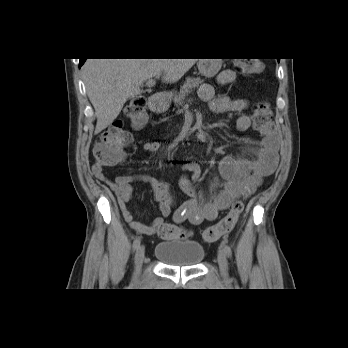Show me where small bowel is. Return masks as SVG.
<instances>
[{
  "mask_svg": "<svg viewBox=\"0 0 348 348\" xmlns=\"http://www.w3.org/2000/svg\"><path fill=\"white\" fill-rule=\"evenodd\" d=\"M236 80L237 75L232 70H224L218 76V83L221 86L233 84ZM199 97L202 101L207 102L211 110L216 113L238 112L239 115L235 122L237 131L245 132L250 129L251 120L245 113L248 107L247 100L231 99L226 95L215 96L214 89L210 84L200 86ZM160 149L161 144L157 141L142 144V150L149 156H154ZM278 151L279 138L277 134L272 133L261 142L255 158L224 157L219 163V171L225 178V182L215 198L209 201L201 202L195 185L187 176L181 177V188L189 198L175 211H173L174 197L169 184L164 180L140 174H125L111 179L104 171L105 165L98 163L93 165L92 171L98 180L114 191L125 222L141 234L153 235L164 224L166 217L171 216L176 224L189 221L191 224L199 225L204 221L214 220L218 212L228 208L235 198L239 196L249 198L263 179L275 171L278 165ZM126 161L124 156L117 164H125ZM182 168L190 173L192 181L196 182L200 179L201 168L199 164L189 162L184 164ZM134 182L149 184L153 189L154 199L158 202L161 216L154 218L149 225L137 222L127 207L134 192L132 187Z\"/></svg>",
  "mask_w": 348,
  "mask_h": 348,
  "instance_id": "c3829d8e",
  "label": "small bowel"
}]
</instances>
